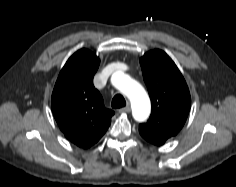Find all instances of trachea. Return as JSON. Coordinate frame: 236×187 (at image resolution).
I'll return each mask as SVG.
<instances>
[{
  "instance_id": "obj_1",
  "label": "trachea",
  "mask_w": 236,
  "mask_h": 187,
  "mask_svg": "<svg viewBox=\"0 0 236 187\" xmlns=\"http://www.w3.org/2000/svg\"><path fill=\"white\" fill-rule=\"evenodd\" d=\"M112 108H121L126 105L125 98L121 94H117L112 99Z\"/></svg>"
}]
</instances>
